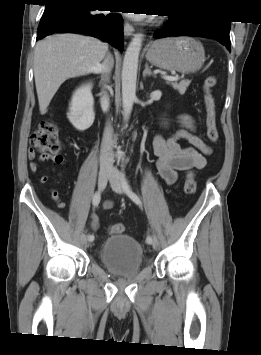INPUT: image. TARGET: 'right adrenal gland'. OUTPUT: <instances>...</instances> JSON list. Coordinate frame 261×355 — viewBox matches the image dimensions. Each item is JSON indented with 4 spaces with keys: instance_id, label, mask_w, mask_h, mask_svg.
Here are the masks:
<instances>
[{
    "instance_id": "obj_1",
    "label": "right adrenal gland",
    "mask_w": 261,
    "mask_h": 355,
    "mask_svg": "<svg viewBox=\"0 0 261 355\" xmlns=\"http://www.w3.org/2000/svg\"><path fill=\"white\" fill-rule=\"evenodd\" d=\"M108 58L111 60L112 67H113V59L111 58V55H109Z\"/></svg>"
}]
</instances>
